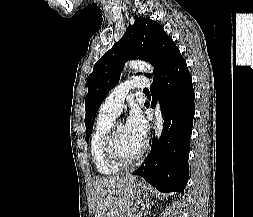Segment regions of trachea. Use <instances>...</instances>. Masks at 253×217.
Returning <instances> with one entry per match:
<instances>
[{
    "label": "trachea",
    "instance_id": "obj_1",
    "mask_svg": "<svg viewBox=\"0 0 253 217\" xmlns=\"http://www.w3.org/2000/svg\"><path fill=\"white\" fill-rule=\"evenodd\" d=\"M144 92H149V90L148 89H144Z\"/></svg>",
    "mask_w": 253,
    "mask_h": 217
}]
</instances>
